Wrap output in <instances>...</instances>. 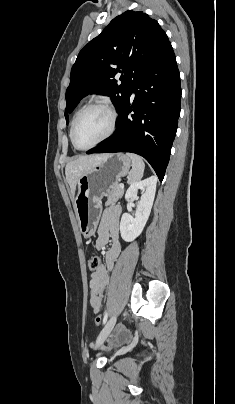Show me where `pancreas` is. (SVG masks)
I'll return each instance as SVG.
<instances>
[{"label": "pancreas", "mask_w": 235, "mask_h": 404, "mask_svg": "<svg viewBox=\"0 0 235 404\" xmlns=\"http://www.w3.org/2000/svg\"><path fill=\"white\" fill-rule=\"evenodd\" d=\"M124 194V189L120 188L118 183H115L108 194V200L106 204L113 203L119 200Z\"/></svg>", "instance_id": "pancreas-1"}]
</instances>
